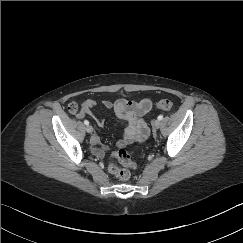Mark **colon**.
I'll use <instances>...</instances> for the list:
<instances>
[{"label":"colon","mask_w":243,"mask_h":243,"mask_svg":"<svg viewBox=\"0 0 243 243\" xmlns=\"http://www.w3.org/2000/svg\"><path fill=\"white\" fill-rule=\"evenodd\" d=\"M156 106L162 110H169L173 108L174 104L169 99H160L157 101ZM78 110L76 103H71L68 106V112L71 114L76 113ZM113 157L122 164L125 168H118L115 163L110 164V170L113 174L122 180H128L130 178V171L127 168H134L136 164L132 161L130 156L124 151L119 150L113 153Z\"/></svg>","instance_id":"colon-1"}]
</instances>
